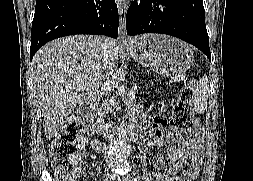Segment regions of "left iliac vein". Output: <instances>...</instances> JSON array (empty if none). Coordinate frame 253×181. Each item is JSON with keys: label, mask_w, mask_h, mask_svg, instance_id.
Returning <instances> with one entry per match:
<instances>
[{"label": "left iliac vein", "mask_w": 253, "mask_h": 181, "mask_svg": "<svg viewBox=\"0 0 253 181\" xmlns=\"http://www.w3.org/2000/svg\"><path fill=\"white\" fill-rule=\"evenodd\" d=\"M125 181H133V180L131 179L130 176H127Z\"/></svg>", "instance_id": "1"}]
</instances>
